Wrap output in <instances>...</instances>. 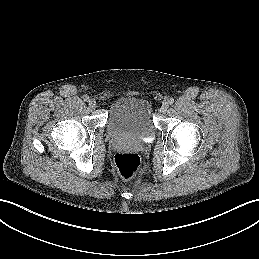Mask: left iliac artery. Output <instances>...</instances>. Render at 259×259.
Returning <instances> with one entry per match:
<instances>
[{"mask_svg":"<svg viewBox=\"0 0 259 259\" xmlns=\"http://www.w3.org/2000/svg\"><path fill=\"white\" fill-rule=\"evenodd\" d=\"M173 103H174V99L173 98L168 99V104L172 105Z\"/></svg>","mask_w":259,"mask_h":259,"instance_id":"left-iliac-artery-1","label":"left iliac artery"}]
</instances>
